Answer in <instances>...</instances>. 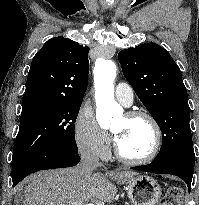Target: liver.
<instances>
[{
	"instance_id": "liver-1",
	"label": "liver",
	"mask_w": 199,
	"mask_h": 205,
	"mask_svg": "<svg viewBox=\"0 0 199 205\" xmlns=\"http://www.w3.org/2000/svg\"><path fill=\"white\" fill-rule=\"evenodd\" d=\"M138 175L134 171L94 173L85 177L79 166L37 172L27 178L24 205H89L92 202H111L117 184H125Z\"/></svg>"
}]
</instances>
